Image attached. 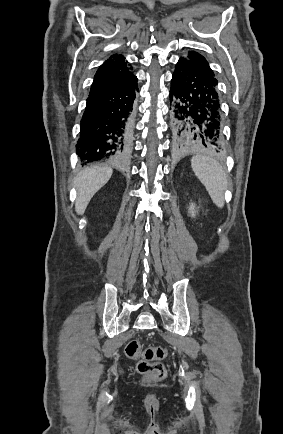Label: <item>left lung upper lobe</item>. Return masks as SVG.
Returning <instances> with one entry per match:
<instances>
[{
    "instance_id": "1",
    "label": "left lung upper lobe",
    "mask_w": 283,
    "mask_h": 434,
    "mask_svg": "<svg viewBox=\"0 0 283 434\" xmlns=\"http://www.w3.org/2000/svg\"><path fill=\"white\" fill-rule=\"evenodd\" d=\"M189 61H191L193 64H195L196 66H199L207 71H209L210 73H213L212 69L210 68L207 60L198 52L196 51H189V53L187 54V56L183 57Z\"/></svg>"
}]
</instances>
